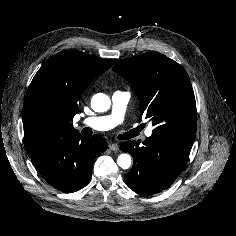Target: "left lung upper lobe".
Segmentation results:
<instances>
[{
    "label": "left lung upper lobe",
    "instance_id": "obj_1",
    "mask_svg": "<svg viewBox=\"0 0 236 236\" xmlns=\"http://www.w3.org/2000/svg\"><path fill=\"white\" fill-rule=\"evenodd\" d=\"M113 71L134 85L142 116L150 119L152 135L194 141L196 102L189 76L174 60L159 53L118 61Z\"/></svg>",
    "mask_w": 236,
    "mask_h": 236
}]
</instances>
